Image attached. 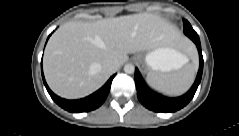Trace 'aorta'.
Listing matches in <instances>:
<instances>
[{"instance_id": "aorta-1", "label": "aorta", "mask_w": 239, "mask_h": 136, "mask_svg": "<svg viewBox=\"0 0 239 136\" xmlns=\"http://www.w3.org/2000/svg\"><path fill=\"white\" fill-rule=\"evenodd\" d=\"M124 71H125V73H127V74H132V73H134V71H135V67H134L133 64L128 63V64H126V65L124 66Z\"/></svg>"}]
</instances>
